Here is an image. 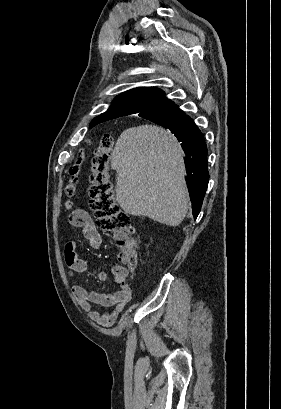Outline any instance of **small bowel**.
<instances>
[{"instance_id": "c3829d8e", "label": "small bowel", "mask_w": 281, "mask_h": 409, "mask_svg": "<svg viewBox=\"0 0 281 409\" xmlns=\"http://www.w3.org/2000/svg\"><path fill=\"white\" fill-rule=\"evenodd\" d=\"M69 222L74 227L82 229L83 236L88 242V245L93 250H99L102 244L101 236L97 231L89 213L83 209L74 210L69 216ZM75 242H68L65 246V261L68 267L73 272H85L87 263L80 259L75 251ZM129 268L123 265H115L110 271L101 270L97 273V279L105 282L112 278L119 286V290L115 293L108 294L89 290L83 286H74L73 294L77 299L80 307L88 313L91 320L101 326H112L118 319L119 315L125 310L132 298V288L128 284ZM93 305H98L110 310L104 313L93 309Z\"/></svg>"}]
</instances>
